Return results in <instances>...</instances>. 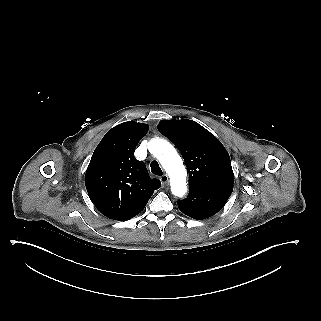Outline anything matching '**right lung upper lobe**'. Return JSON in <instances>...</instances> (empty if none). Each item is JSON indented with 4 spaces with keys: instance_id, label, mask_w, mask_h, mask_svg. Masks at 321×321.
I'll return each mask as SVG.
<instances>
[{
    "instance_id": "right-lung-upper-lobe-1",
    "label": "right lung upper lobe",
    "mask_w": 321,
    "mask_h": 321,
    "mask_svg": "<svg viewBox=\"0 0 321 321\" xmlns=\"http://www.w3.org/2000/svg\"><path fill=\"white\" fill-rule=\"evenodd\" d=\"M148 125L124 122L109 130L96 147L85 175L88 195L106 217L123 220L144 207L161 186L134 158Z\"/></svg>"
}]
</instances>
